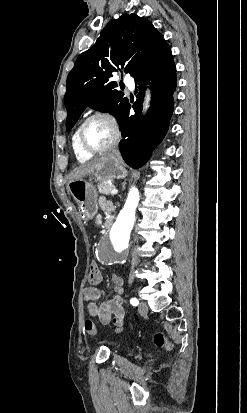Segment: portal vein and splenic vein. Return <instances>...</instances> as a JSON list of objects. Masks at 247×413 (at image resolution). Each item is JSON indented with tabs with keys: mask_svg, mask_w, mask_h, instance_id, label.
Here are the masks:
<instances>
[{
	"mask_svg": "<svg viewBox=\"0 0 247 413\" xmlns=\"http://www.w3.org/2000/svg\"><path fill=\"white\" fill-rule=\"evenodd\" d=\"M117 192H118L117 188H112L111 194H117Z\"/></svg>",
	"mask_w": 247,
	"mask_h": 413,
	"instance_id": "18ae733b",
	"label": "portal vein and splenic vein"
}]
</instances>
